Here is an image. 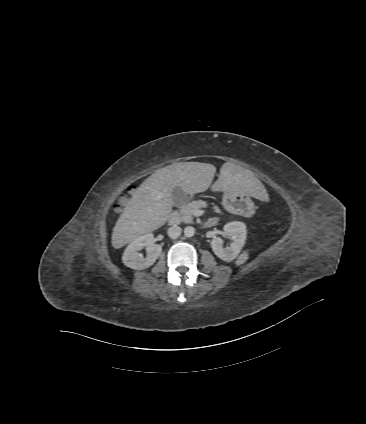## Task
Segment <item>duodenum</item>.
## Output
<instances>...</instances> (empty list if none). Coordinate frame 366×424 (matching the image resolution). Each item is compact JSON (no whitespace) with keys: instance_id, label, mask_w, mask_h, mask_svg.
Listing matches in <instances>:
<instances>
[{"instance_id":"1","label":"duodenum","mask_w":366,"mask_h":424,"mask_svg":"<svg viewBox=\"0 0 366 424\" xmlns=\"http://www.w3.org/2000/svg\"><path fill=\"white\" fill-rule=\"evenodd\" d=\"M208 225H211V222H208Z\"/></svg>"}]
</instances>
